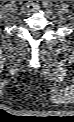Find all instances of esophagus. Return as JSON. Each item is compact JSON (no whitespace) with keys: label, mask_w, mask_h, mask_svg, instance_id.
Returning <instances> with one entry per match:
<instances>
[{"label":"esophagus","mask_w":74,"mask_h":122,"mask_svg":"<svg viewBox=\"0 0 74 122\" xmlns=\"http://www.w3.org/2000/svg\"><path fill=\"white\" fill-rule=\"evenodd\" d=\"M26 8L30 12H35L39 9L38 5L36 3L31 2V1L26 5Z\"/></svg>","instance_id":"34e87169"}]
</instances>
